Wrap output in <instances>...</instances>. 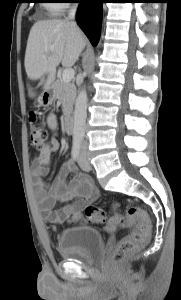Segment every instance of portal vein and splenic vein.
Segmentation results:
<instances>
[{"label": "portal vein and splenic vein", "mask_w": 181, "mask_h": 300, "mask_svg": "<svg viewBox=\"0 0 181 300\" xmlns=\"http://www.w3.org/2000/svg\"><path fill=\"white\" fill-rule=\"evenodd\" d=\"M74 70L72 68L65 69L62 73V81L69 83L74 77Z\"/></svg>", "instance_id": "1"}]
</instances>
